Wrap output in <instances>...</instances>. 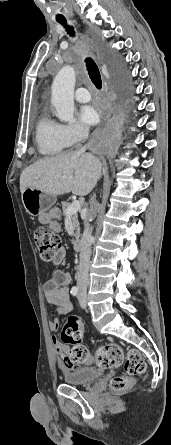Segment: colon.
Here are the masks:
<instances>
[{"mask_svg": "<svg viewBox=\"0 0 171 445\" xmlns=\"http://www.w3.org/2000/svg\"><path fill=\"white\" fill-rule=\"evenodd\" d=\"M34 237L41 259L46 263L54 262L61 248L59 236L50 230L38 228L34 232ZM80 324L81 318L70 317L62 331L63 341L71 345L69 360L75 364L94 363L101 369L117 368L123 364L125 374L114 377L110 381V389L114 392L127 390L134 377L142 375L146 371V363L139 351L129 350L124 358L121 346L110 343L101 346L91 355L82 342Z\"/></svg>", "mask_w": 171, "mask_h": 445, "instance_id": "colon-1", "label": "colon"}]
</instances>
